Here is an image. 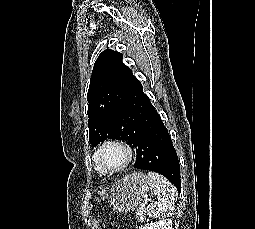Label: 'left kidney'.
<instances>
[{"label": "left kidney", "mask_w": 255, "mask_h": 229, "mask_svg": "<svg viewBox=\"0 0 255 229\" xmlns=\"http://www.w3.org/2000/svg\"><path fill=\"white\" fill-rule=\"evenodd\" d=\"M172 220L163 219L158 222H151L150 224L145 225L143 229H172Z\"/></svg>", "instance_id": "obj_1"}]
</instances>
